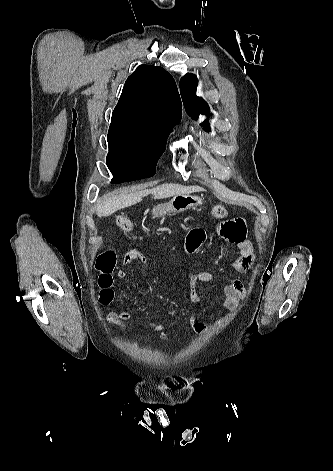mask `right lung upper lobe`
<instances>
[{"mask_svg": "<svg viewBox=\"0 0 333 471\" xmlns=\"http://www.w3.org/2000/svg\"><path fill=\"white\" fill-rule=\"evenodd\" d=\"M181 116V100L173 77L162 67L140 65L127 78L111 123L171 132Z\"/></svg>", "mask_w": 333, "mask_h": 471, "instance_id": "obj_1", "label": "right lung upper lobe"}]
</instances>
